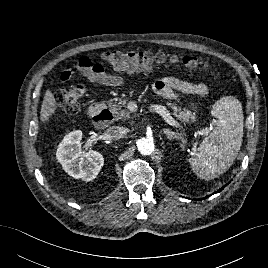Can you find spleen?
<instances>
[{
	"label": "spleen",
	"instance_id": "spleen-1",
	"mask_svg": "<svg viewBox=\"0 0 268 268\" xmlns=\"http://www.w3.org/2000/svg\"><path fill=\"white\" fill-rule=\"evenodd\" d=\"M216 127L207 136L194 157L189 159L192 170L201 179L211 180L226 172L240 150L244 115L241 102L233 97L220 98L212 107Z\"/></svg>",
	"mask_w": 268,
	"mask_h": 268
}]
</instances>
